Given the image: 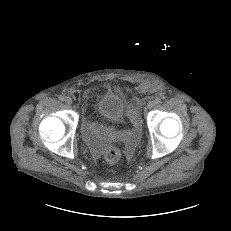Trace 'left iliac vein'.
I'll return each instance as SVG.
<instances>
[{
	"instance_id": "left-iliac-vein-1",
	"label": "left iliac vein",
	"mask_w": 231,
	"mask_h": 231,
	"mask_svg": "<svg viewBox=\"0 0 231 231\" xmlns=\"http://www.w3.org/2000/svg\"><path fill=\"white\" fill-rule=\"evenodd\" d=\"M154 106H155V102L154 101H149L148 104H147V108L148 109H152V108H154Z\"/></svg>"
}]
</instances>
